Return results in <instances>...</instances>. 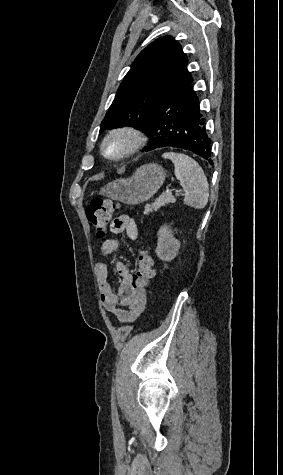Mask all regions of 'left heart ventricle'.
Returning <instances> with one entry per match:
<instances>
[{"label":"left heart ventricle","instance_id":"1","mask_svg":"<svg viewBox=\"0 0 283 475\" xmlns=\"http://www.w3.org/2000/svg\"><path fill=\"white\" fill-rule=\"evenodd\" d=\"M124 147V143L123 141L121 140H114V141H111L108 145H107V151L110 153V154H116L118 152H120Z\"/></svg>","mask_w":283,"mask_h":475}]
</instances>
